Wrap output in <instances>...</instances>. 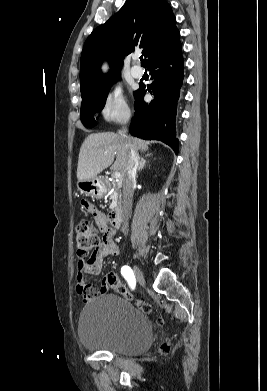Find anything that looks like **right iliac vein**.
Returning a JSON list of instances; mask_svg holds the SVG:
<instances>
[{"label":"right iliac vein","mask_w":267,"mask_h":391,"mask_svg":"<svg viewBox=\"0 0 267 391\" xmlns=\"http://www.w3.org/2000/svg\"><path fill=\"white\" fill-rule=\"evenodd\" d=\"M133 270H134V274H135V277H136L137 281L141 285H144L145 284V278H144V275H143V272L141 271V269L137 265H134Z\"/></svg>","instance_id":"right-iliac-vein-1"}]
</instances>
